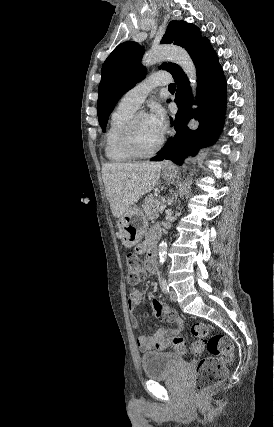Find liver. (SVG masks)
I'll return each mask as SVG.
<instances>
[{"label":"liver","instance_id":"obj_1","mask_svg":"<svg viewBox=\"0 0 274 427\" xmlns=\"http://www.w3.org/2000/svg\"><path fill=\"white\" fill-rule=\"evenodd\" d=\"M161 162L144 164H103L102 178L114 217L131 210L143 194H148L161 176Z\"/></svg>","mask_w":274,"mask_h":427}]
</instances>
